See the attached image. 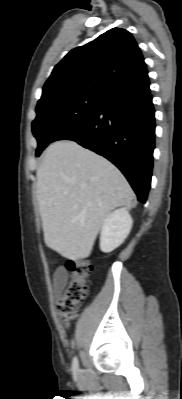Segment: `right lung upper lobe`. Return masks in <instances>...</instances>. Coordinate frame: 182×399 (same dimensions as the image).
I'll return each instance as SVG.
<instances>
[{
    "instance_id": "right-lung-upper-lobe-1",
    "label": "right lung upper lobe",
    "mask_w": 182,
    "mask_h": 399,
    "mask_svg": "<svg viewBox=\"0 0 182 399\" xmlns=\"http://www.w3.org/2000/svg\"><path fill=\"white\" fill-rule=\"evenodd\" d=\"M146 80L148 71L135 39L113 28L71 50L53 69L38 102L75 94L105 96Z\"/></svg>"
}]
</instances>
